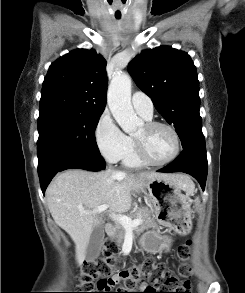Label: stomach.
I'll list each match as a JSON object with an SVG mask.
<instances>
[{"instance_id": "1", "label": "stomach", "mask_w": 245, "mask_h": 293, "mask_svg": "<svg viewBox=\"0 0 245 293\" xmlns=\"http://www.w3.org/2000/svg\"><path fill=\"white\" fill-rule=\"evenodd\" d=\"M172 179H154L144 187L148 202L154 209V216L162 226L175 230L184 229L191 223V204L188 195ZM143 250L157 253L163 248V237L156 231H147L140 239Z\"/></svg>"}]
</instances>
